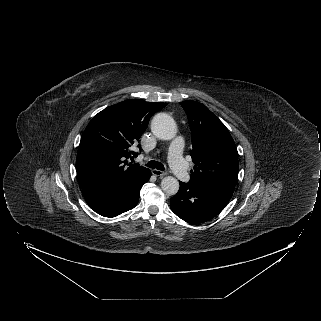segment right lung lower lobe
<instances>
[{
  "label": "right lung lower lobe",
  "instance_id": "obj_1",
  "mask_svg": "<svg viewBox=\"0 0 321 321\" xmlns=\"http://www.w3.org/2000/svg\"><path fill=\"white\" fill-rule=\"evenodd\" d=\"M151 176L148 170L127 182L108 183L83 191V196L96 213L115 217L134 208L139 201L140 189Z\"/></svg>",
  "mask_w": 321,
  "mask_h": 321
}]
</instances>
